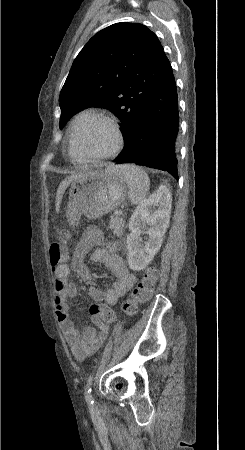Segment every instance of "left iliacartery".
I'll return each mask as SVG.
<instances>
[{"label":"left iliac artery","mask_w":245,"mask_h":450,"mask_svg":"<svg viewBox=\"0 0 245 450\" xmlns=\"http://www.w3.org/2000/svg\"><path fill=\"white\" fill-rule=\"evenodd\" d=\"M92 383H93V375L88 378L87 384L85 387V394H86L85 398H86V401L90 404H93V402H94L93 397H92Z\"/></svg>","instance_id":"44dca946"}]
</instances>
